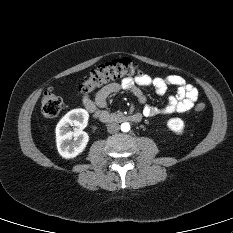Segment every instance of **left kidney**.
Segmentation results:
<instances>
[{
    "mask_svg": "<svg viewBox=\"0 0 233 233\" xmlns=\"http://www.w3.org/2000/svg\"><path fill=\"white\" fill-rule=\"evenodd\" d=\"M167 126L170 130L176 134H182L184 130V122L181 118H171L167 122Z\"/></svg>",
    "mask_w": 233,
    "mask_h": 233,
    "instance_id": "1",
    "label": "left kidney"
}]
</instances>
